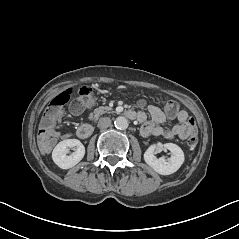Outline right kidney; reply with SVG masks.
I'll return each mask as SVG.
<instances>
[{
	"instance_id": "ca27d5eb",
	"label": "right kidney",
	"mask_w": 239,
	"mask_h": 239,
	"mask_svg": "<svg viewBox=\"0 0 239 239\" xmlns=\"http://www.w3.org/2000/svg\"><path fill=\"white\" fill-rule=\"evenodd\" d=\"M85 154L83 144L77 139H70V142L63 141L55 146L53 150V161L63 171L74 169Z\"/></svg>"
}]
</instances>
